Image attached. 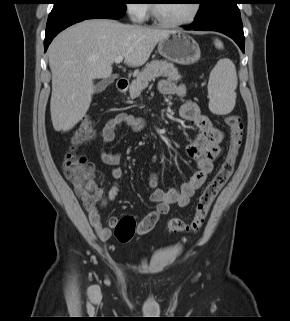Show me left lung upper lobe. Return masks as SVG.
Instances as JSON below:
<instances>
[{
	"label": "left lung upper lobe",
	"mask_w": 290,
	"mask_h": 321,
	"mask_svg": "<svg viewBox=\"0 0 290 321\" xmlns=\"http://www.w3.org/2000/svg\"><path fill=\"white\" fill-rule=\"evenodd\" d=\"M226 1L228 0H199L200 8L195 19L211 14L224 5Z\"/></svg>",
	"instance_id": "left-lung-upper-lobe-1"
}]
</instances>
